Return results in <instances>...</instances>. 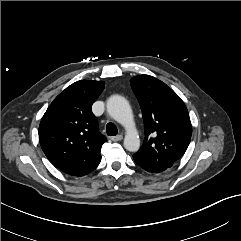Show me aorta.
I'll list each match as a JSON object with an SVG mask.
<instances>
[{
    "label": "aorta",
    "mask_w": 241,
    "mask_h": 241,
    "mask_svg": "<svg viewBox=\"0 0 241 241\" xmlns=\"http://www.w3.org/2000/svg\"><path fill=\"white\" fill-rule=\"evenodd\" d=\"M107 112L118 123L126 128L124 147L130 152H136L140 148V139L135 128L133 114L128 101L119 95H113L107 100Z\"/></svg>",
    "instance_id": "obj_1"
}]
</instances>
